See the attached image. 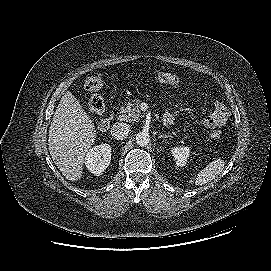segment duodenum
<instances>
[{
    "label": "duodenum",
    "mask_w": 271,
    "mask_h": 271,
    "mask_svg": "<svg viewBox=\"0 0 271 271\" xmlns=\"http://www.w3.org/2000/svg\"><path fill=\"white\" fill-rule=\"evenodd\" d=\"M112 118L109 116H106L104 118H102L99 123H98V129L102 132H106L111 124ZM165 124H169L167 121H165Z\"/></svg>",
    "instance_id": "1"
}]
</instances>
